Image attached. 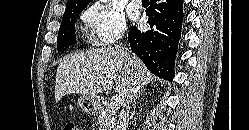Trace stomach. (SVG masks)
<instances>
[{
	"mask_svg": "<svg viewBox=\"0 0 249 130\" xmlns=\"http://www.w3.org/2000/svg\"><path fill=\"white\" fill-rule=\"evenodd\" d=\"M76 103L82 111L89 114H96L100 109V100L97 96L83 94L77 99Z\"/></svg>",
	"mask_w": 249,
	"mask_h": 130,
	"instance_id": "0dacf381",
	"label": "stomach"
}]
</instances>
